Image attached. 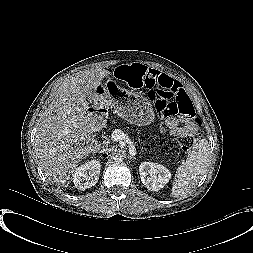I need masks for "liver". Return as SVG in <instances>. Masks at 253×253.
Masks as SVG:
<instances>
[{
    "label": "liver",
    "mask_w": 253,
    "mask_h": 253,
    "mask_svg": "<svg viewBox=\"0 0 253 253\" xmlns=\"http://www.w3.org/2000/svg\"><path fill=\"white\" fill-rule=\"evenodd\" d=\"M108 74L105 69L85 70L66 79L42 114L34 141L38 164L62 187L69 185L70 174L92 151L94 128L86 99Z\"/></svg>",
    "instance_id": "1"
}]
</instances>
